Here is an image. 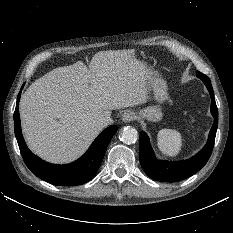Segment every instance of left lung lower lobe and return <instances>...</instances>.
Returning <instances> with one entry per match:
<instances>
[{"label": "left lung lower lobe", "mask_w": 233, "mask_h": 233, "mask_svg": "<svg viewBox=\"0 0 233 233\" xmlns=\"http://www.w3.org/2000/svg\"><path fill=\"white\" fill-rule=\"evenodd\" d=\"M197 77L204 82L211 96V113L214 117V123L210 130L208 141L204 148L190 159L177 162L158 161L154 156L147 134L141 132L140 163L144 172L153 180L177 182L186 179L204 167L212 153L218 126V109L210 79L205 74Z\"/></svg>", "instance_id": "left-lung-lower-lobe-1"}]
</instances>
